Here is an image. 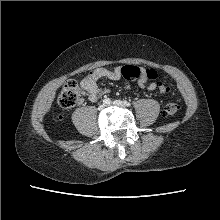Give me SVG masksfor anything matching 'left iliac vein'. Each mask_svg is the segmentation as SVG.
<instances>
[{
    "instance_id": "1",
    "label": "left iliac vein",
    "mask_w": 220,
    "mask_h": 220,
    "mask_svg": "<svg viewBox=\"0 0 220 220\" xmlns=\"http://www.w3.org/2000/svg\"><path fill=\"white\" fill-rule=\"evenodd\" d=\"M113 105L118 106V107H124V103L121 100H115L113 102Z\"/></svg>"
}]
</instances>
